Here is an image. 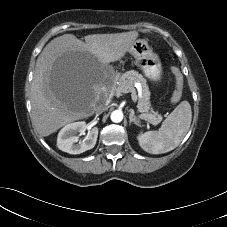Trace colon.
I'll use <instances>...</instances> for the list:
<instances>
[{
  "label": "colon",
  "mask_w": 227,
  "mask_h": 227,
  "mask_svg": "<svg viewBox=\"0 0 227 227\" xmlns=\"http://www.w3.org/2000/svg\"><path fill=\"white\" fill-rule=\"evenodd\" d=\"M171 71L176 80V90L172 96V101L177 102L181 98V93H182V82H183L182 74H181L180 70L177 68H172Z\"/></svg>",
  "instance_id": "5ec220e1"
}]
</instances>
